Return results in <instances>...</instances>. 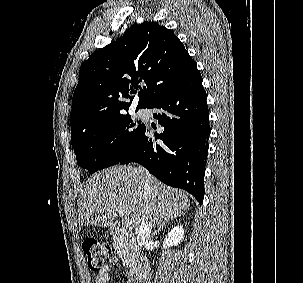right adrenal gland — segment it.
Masks as SVG:
<instances>
[{"label":"right adrenal gland","instance_id":"2a0ac1e0","mask_svg":"<svg viewBox=\"0 0 303 283\" xmlns=\"http://www.w3.org/2000/svg\"><path fill=\"white\" fill-rule=\"evenodd\" d=\"M167 222V219H165L158 227L157 229L154 231V235L159 233L160 230L165 226V223Z\"/></svg>","mask_w":303,"mask_h":283}]
</instances>
